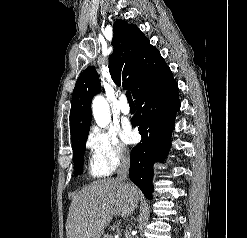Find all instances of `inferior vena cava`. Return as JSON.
Masks as SVG:
<instances>
[{
	"label": "inferior vena cava",
	"instance_id": "inferior-vena-cava-1",
	"mask_svg": "<svg viewBox=\"0 0 247 238\" xmlns=\"http://www.w3.org/2000/svg\"><path fill=\"white\" fill-rule=\"evenodd\" d=\"M121 164L117 171V181L123 182L128 180L129 166H130V156L127 150H122L120 153ZM128 186L129 183H126Z\"/></svg>",
	"mask_w": 247,
	"mask_h": 238
}]
</instances>
